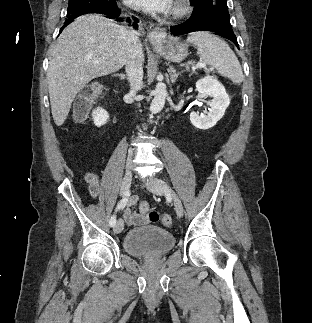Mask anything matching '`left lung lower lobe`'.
Listing matches in <instances>:
<instances>
[{
	"label": "left lung lower lobe",
	"mask_w": 312,
	"mask_h": 323,
	"mask_svg": "<svg viewBox=\"0 0 312 323\" xmlns=\"http://www.w3.org/2000/svg\"><path fill=\"white\" fill-rule=\"evenodd\" d=\"M170 30L173 35H183L195 31L214 32L216 35L233 41L239 48L230 24V16L226 13H211L198 20H187L179 25L171 26Z\"/></svg>",
	"instance_id": "left-lung-lower-lobe-1"
}]
</instances>
